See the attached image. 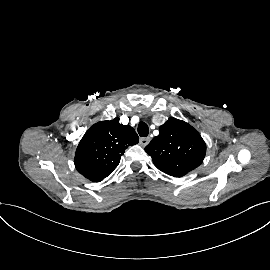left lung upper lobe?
<instances>
[{
    "label": "left lung upper lobe",
    "instance_id": "left-lung-upper-lobe-1",
    "mask_svg": "<svg viewBox=\"0 0 270 270\" xmlns=\"http://www.w3.org/2000/svg\"><path fill=\"white\" fill-rule=\"evenodd\" d=\"M145 150L159 170L173 177H182L202 163L206 144L191 125L171 117L160 126L159 135Z\"/></svg>",
    "mask_w": 270,
    "mask_h": 270
}]
</instances>
